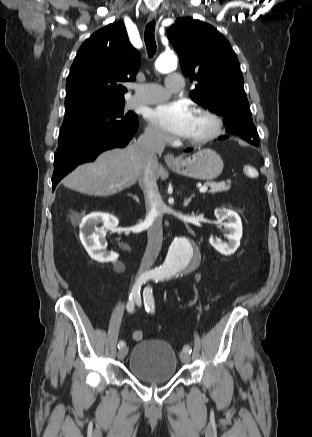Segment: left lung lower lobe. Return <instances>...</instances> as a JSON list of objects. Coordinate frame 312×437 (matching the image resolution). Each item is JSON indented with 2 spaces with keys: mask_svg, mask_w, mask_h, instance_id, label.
<instances>
[{
  "mask_svg": "<svg viewBox=\"0 0 312 437\" xmlns=\"http://www.w3.org/2000/svg\"><path fill=\"white\" fill-rule=\"evenodd\" d=\"M225 138H227V137L223 136V137H220L219 139L222 140V139H225ZM253 145H256V146H257L258 143H254ZM190 150H192V149L189 148V149H187L186 151H190Z\"/></svg>",
  "mask_w": 312,
  "mask_h": 437,
  "instance_id": "0a47b994",
  "label": "left lung lower lobe"
}]
</instances>
